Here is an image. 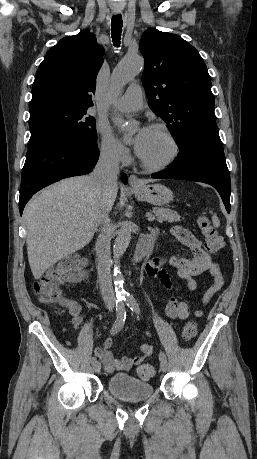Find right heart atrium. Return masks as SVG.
<instances>
[{"label":"right heart atrium","instance_id":"1","mask_svg":"<svg viewBox=\"0 0 257 459\" xmlns=\"http://www.w3.org/2000/svg\"><path fill=\"white\" fill-rule=\"evenodd\" d=\"M100 135L101 156L112 163H126L130 158L129 149L124 146L114 135L104 126L98 128Z\"/></svg>","mask_w":257,"mask_h":459}]
</instances>
